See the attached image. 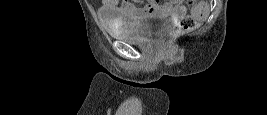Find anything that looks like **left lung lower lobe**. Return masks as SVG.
Returning <instances> with one entry per match:
<instances>
[{
	"label": "left lung lower lobe",
	"mask_w": 267,
	"mask_h": 115,
	"mask_svg": "<svg viewBox=\"0 0 267 115\" xmlns=\"http://www.w3.org/2000/svg\"><path fill=\"white\" fill-rule=\"evenodd\" d=\"M143 87H159L157 85H152V86H143Z\"/></svg>",
	"instance_id": "left-lung-lower-lobe-1"
}]
</instances>
